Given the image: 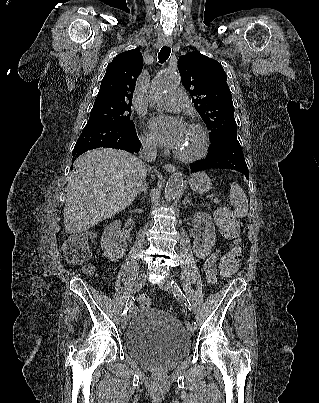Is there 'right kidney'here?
<instances>
[{"label":"right kidney","instance_id":"obj_1","mask_svg":"<svg viewBox=\"0 0 319 403\" xmlns=\"http://www.w3.org/2000/svg\"><path fill=\"white\" fill-rule=\"evenodd\" d=\"M121 221L115 220L104 229L100 239L105 257L112 262H118L127 250L126 237L120 230Z\"/></svg>","mask_w":319,"mask_h":403}]
</instances>
